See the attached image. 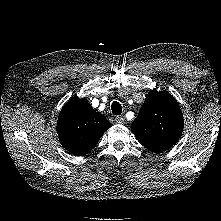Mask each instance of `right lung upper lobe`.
Instances as JSON below:
<instances>
[{
    "mask_svg": "<svg viewBox=\"0 0 221 221\" xmlns=\"http://www.w3.org/2000/svg\"><path fill=\"white\" fill-rule=\"evenodd\" d=\"M111 126L86 99L73 98L62 108L57 132L62 146L74 155H85Z\"/></svg>",
    "mask_w": 221,
    "mask_h": 221,
    "instance_id": "right-lung-upper-lobe-1",
    "label": "right lung upper lobe"
}]
</instances>
